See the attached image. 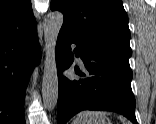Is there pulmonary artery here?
<instances>
[{"label": "pulmonary artery", "mask_w": 156, "mask_h": 124, "mask_svg": "<svg viewBox=\"0 0 156 124\" xmlns=\"http://www.w3.org/2000/svg\"><path fill=\"white\" fill-rule=\"evenodd\" d=\"M78 61H79V62H82V60H81L80 58H78Z\"/></svg>", "instance_id": "1"}]
</instances>
